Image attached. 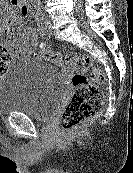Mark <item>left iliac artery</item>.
Masks as SVG:
<instances>
[{
    "mask_svg": "<svg viewBox=\"0 0 133 173\" xmlns=\"http://www.w3.org/2000/svg\"><path fill=\"white\" fill-rule=\"evenodd\" d=\"M36 21H37V30L40 34H42L45 25V17L41 11H38L36 13Z\"/></svg>",
    "mask_w": 133,
    "mask_h": 173,
    "instance_id": "obj_1",
    "label": "left iliac artery"
}]
</instances>
